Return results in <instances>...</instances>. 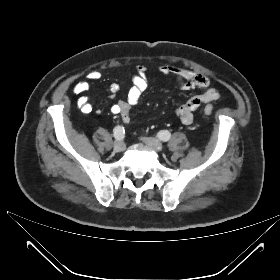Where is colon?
<instances>
[{"label":"colon","instance_id":"5ec220e1","mask_svg":"<svg viewBox=\"0 0 280 280\" xmlns=\"http://www.w3.org/2000/svg\"><path fill=\"white\" fill-rule=\"evenodd\" d=\"M213 112V108L212 107H205L204 108V113L209 115Z\"/></svg>","mask_w":280,"mask_h":280}]
</instances>
